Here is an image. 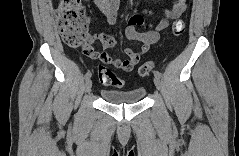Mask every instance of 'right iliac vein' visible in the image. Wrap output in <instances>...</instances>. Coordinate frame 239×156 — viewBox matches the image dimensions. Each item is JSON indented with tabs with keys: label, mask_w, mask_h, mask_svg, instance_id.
I'll return each mask as SVG.
<instances>
[{
	"label": "right iliac vein",
	"mask_w": 239,
	"mask_h": 156,
	"mask_svg": "<svg viewBox=\"0 0 239 156\" xmlns=\"http://www.w3.org/2000/svg\"><path fill=\"white\" fill-rule=\"evenodd\" d=\"M92 88V81L90 79L86 80L85 82V92H90Z\"/></svg>",
	"instance_id": "63e3f726"
}]
</instances>
